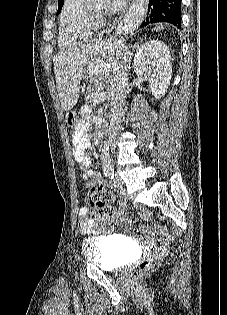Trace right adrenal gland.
Instances as JSON below:
<instances>
[{
    "label": "right adrenal gland",
    "instance_id": "right-adrenal-gland-1",
    "mask_svg": "<svg viewBox=\"0 0 227 315\" xmlns=\"http://www.w3.org/2000/svg\"><path fill=\"white\" fill-rule=\"evenodd\" d=\"M139 46L138 45H133L131 48H132V51H127V55H128V57H129V60H131L132 59V56H133V53H134V51H135V49L136 48H138Z\"/></svg>",
    "mask_w": 227,
    "mask_h": 315
}]
</instances>
